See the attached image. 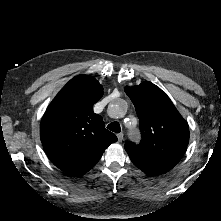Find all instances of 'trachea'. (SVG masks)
Masks as SVG:
<instances>
[{"instance_id":"3493384b","label":"trachea","mask_w":221,"mask_h":221,"mask_svg":"<svg viewBox=\"0 0 221 221\" xmlns=\"http://www.w3.org/2000/svg\"><path fill=\"white\" fill-rule=\"evenodd\" d=\"M107 128L115 133H119L121 128H120V124L118 122H112L110 123Z\"/></svg>"}]
</instances>
